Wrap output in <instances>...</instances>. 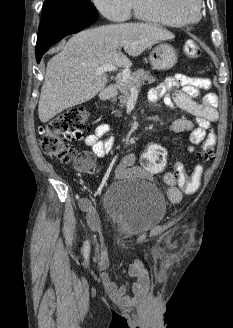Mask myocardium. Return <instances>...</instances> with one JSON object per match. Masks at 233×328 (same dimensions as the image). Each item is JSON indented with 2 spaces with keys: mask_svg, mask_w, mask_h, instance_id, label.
<instances>
[{
  "mask_svg": "<svg viewBox=\"0 0 233 328\" xmlns=\"http://www.w3.org/2000/svg\"><path fill=\"white\" fill-rule=\"evenodd\" d=\"M184 0H149V3L156 10L170 16L181 25H192L202 18V0H194L196 4L195 12L192 15H186L182 11Z\"/></svg>",
  "mask_w": 233,
  "mask_h": 328,
  "instance_id": "myocardium-1",
  "label": "myocardium"
}]
</instances>
